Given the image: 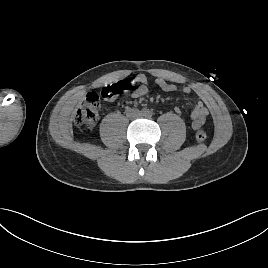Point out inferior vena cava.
I'll return each instance as SVG.
<instances>
[{"label": "inferior vena cava", "instance_id": "1", "mask_svg": "<svg viewBox=\"0 0 268 268\" xmlns=\"http://www.w3.org/2000/svg\"><path fill=\"white\" fill-rule=\"evenodd\" d=\"M127 116H129L131 119H135L139 116V112L137 110H132V112H127Z\"/></svg>", "mask_w": 268, "mask_h": 268}]
</instances>
